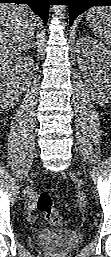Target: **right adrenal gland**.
<instances>
[{
  "label": "right adrenal gland",
  "mask_w": 111,
  "mask_h": 257,
  "mask_svg": "<svg viewBox=\"0 0 111 257\" xmlns=\"http://www.w3.org/2000/svg\"><path fill=\"white\" fill-rule=\"evenodd\" d=\"M34 40H35V37L33 36V37L31 38V40H30L28 46L26 47L25 52L29 51V49L32 48V47H33L34 49L36 48V44H35Z\"/></svg>",
  "instance_id": "obj_1"
}]
</instances>
